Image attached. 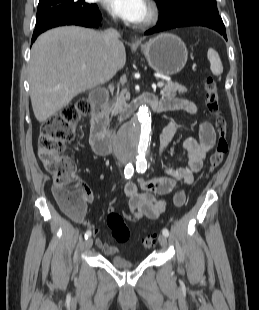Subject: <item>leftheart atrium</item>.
<instances>
[{
	"label": "left heart atrium",
	"mask_w": 259,
	"mask_h": 310,
	"mask_svg": "<svg viewBox=\"0 0 259 310\" xmlns=\"http://www.w3.org/2000/svg\"><path fill=\"white\" fill-rule=\"evenodd\" d=\"M104 4L110 13L131 23L142 20L146 7L145 0H104Z\"/></svg>",
	"instance_id": "1"
}]
</instances>
